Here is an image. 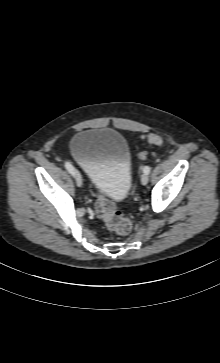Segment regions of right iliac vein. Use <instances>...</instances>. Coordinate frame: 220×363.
<instances>
[{
  "mask_svg": "<svg viewBox=\"0 0 220 363\" xmlns=\"http://www.w3.org/2000/svg\"><path fill=\"white\" fill-rule=\"evenodd\" d=\"M74 177H75V181H76V184L80 187L82 186V177H81V174L79 171L75 170L74 171Z\"/></svg>",
  "mask_w": 220,
  "mask_h": 363,
  "instance_id": "63e3f726",
  "label": "right iliac vein"
}]
</instances>
